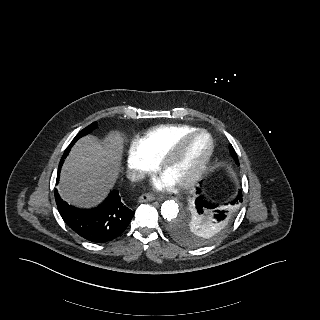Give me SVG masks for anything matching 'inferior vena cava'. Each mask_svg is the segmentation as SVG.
Returning <instances> with one entry per match:
<instances>
[{
  "instance_id": "602c4592",
  "label": "inferior vena cava",
  "mask_w": 320,
  "mask_h": 320,
  "mask_svg": "<svg viewBox=\"0 0 320 320\" xmlns=\"http://www.w3.org/2000/svg\"><path fill=\"white\" fill-rule=\"evenodd\" d=\"M127 178L131 181H139L144 178V173L139 171H128Z\"/></svg>"
}]
</instances>
